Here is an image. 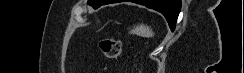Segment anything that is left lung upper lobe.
<instances>
[{"label":"left lung upper lobe","instance_id":"1","mask_svg":"<svg viewBox=\"0 0 244 73\" xmlns=\"http://www.w3.org/2000/svg\"><path fill=\"white\" fill-rule=\"evenodd\" d=\"M88 4L93 6L94 8H98L101 6L100 0H88Z\"/></svg>","mask_w":244,"mask_h":73}]
</instances>
